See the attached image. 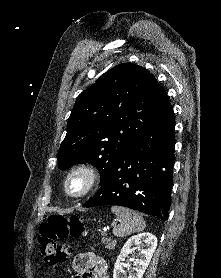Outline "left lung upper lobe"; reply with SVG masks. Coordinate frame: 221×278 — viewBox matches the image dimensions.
I'll list each match as a JSON object with an SVG mask.
<instances>
[{"mask_svg": "<svg viewBox=\"0 0 221 278\" xmlns=\"http://www.w3.org/2000/svg\"><path fill=\"white\" fill-rule=\"evenodd\" d=\"M170 108L165 90L146 69L113 67L78 96L57 154L59 168L89 162L102 180L123 149Z\"/></svg>", "mask_w": 221, "mask_h": 278, "instance_id": "1", "label": "left lung upper lobe"}]
</instances>
